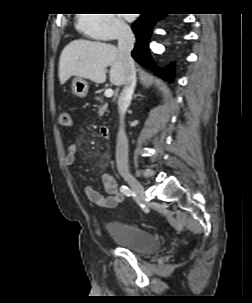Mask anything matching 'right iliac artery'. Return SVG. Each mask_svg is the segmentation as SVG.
I'll use <instances>...</instances> for the list:
<instances>
[{
  "label": "right iliac artery",
  "instance_id": "82829eb1",
  "mask_svg": "<svg viewBox=\"0 0 252 303\" xmlns=\"http://www.w3.org/2000/svg\"><path fill=\"white\" fill-rule=\"evenodd\" d=\"M121 192L126 196H132L133 192L125 185L121 186Z\"/></svg>",
  "mask_w": 252,
  "mask_h": 303
}]
</instances>
